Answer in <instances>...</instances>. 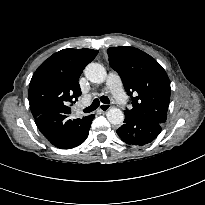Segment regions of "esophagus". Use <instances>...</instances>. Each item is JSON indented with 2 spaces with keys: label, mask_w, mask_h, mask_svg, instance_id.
Instances as JSON below:
<instances>
[{
  "label": "esophagus",
  "mask_w": 205,
  "mask_h": 205,
  "mask_svg": "<svg viewBox=\"0 0 205 205\" xmlns=\"http://www.w3.org/2000/svg\"><path fill=\"white\" fill-rule=\"evenodd\" d=\"M109 108H110V106L108 104L101 103L100 106H99V110L102 111V112L108 111Z\"/></svg>",
  "instance_id": "obj_1"
}]
</instances>
